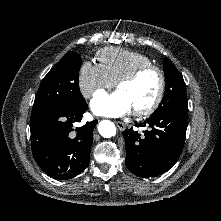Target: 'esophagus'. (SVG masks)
I'll list each match as a JSON object with an SVG mask.
<instances>
[{
	"label": "esophagus",
	"mask_w": 221,
	"mask_h": 221,
	"mask_svg": "<svg viewBox=\"0 0 221 221\" xmlns=\"http://www.w3.org/2000/svg\"><path fill=\"white\" fill-rule=\"evenodd\" d=\"M115 124L117 125V127L120 131H124L126 129L125 124L120 121H115Z\"/></svg>",
	"instance_id": "esophagus-1"
}]
</instances>
